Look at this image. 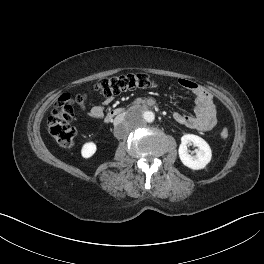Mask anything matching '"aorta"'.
I'll use <instances>...</instances> for the list:
<instances>
[{"label": "aorta", "instance_id": "aorta-1", "mask_svg": "<svg viewBox=\"0 0 264 264\" xmlns=\"http://www.w3.org/2000/svg\"><path fill=\"white\" fill-rule=\"evenodd\" d=\"M141 117L143 121L151 123L155 119V114L152 111L147 110L141 113Z\"/></svg>", "mask_w": 264, "mask_h": 264}]
</instances>
